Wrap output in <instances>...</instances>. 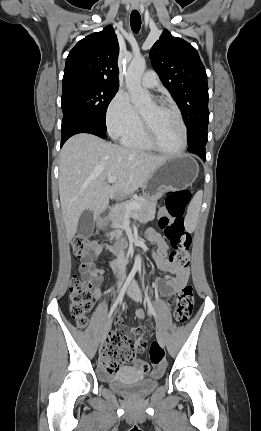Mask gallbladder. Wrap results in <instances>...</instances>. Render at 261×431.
Here are the masks:
<instances>
[{
  "label": "gallbladder",
  "mask_w": 261,
  "mask_h": 431,
  "mask_svg": "<svg viewBox=\"0 0 261 431\" xmlns=\"http://www.w3.org/2000/svg\"><path fill=\"white\" fill-rule=\"evenodd\" d=\"M95 228V219L91 211H85L79 221L77 226V234L80 237L87 238L92 235Z\"/></svg>",
  "instance_id": "obj_1"
}]
</instances>
